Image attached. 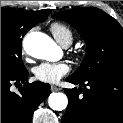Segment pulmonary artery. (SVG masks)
<instances>
[{
  "mask_svg": "<svg viewBox=\"0 0 123 123\" xmlns=\"http://www.w3.org/2000/svg\"><path fill=\"white\" fill-rule=\"evenodd\" d=\"M63 46H64V47H68V46H69V44H68V43H65V44H63Z\"/></svg>",
  "mask_w": 123,
  "mask_h": 123,
  "instance_id": "obj_1",
  "label": "pulmonary artery"
}]
</instances>
